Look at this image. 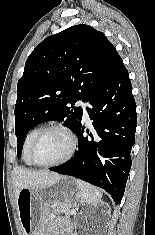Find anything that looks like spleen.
<instances>
[{"mask_svg": "<svg viewBox=\"0 0 155 235\" xmlns=\"http://www.w3.org/2000/svg\"><path fill=\"white\" fill-rule=\"evenodd\" d=\"M76 183L81 190L84 202L95 204L101 200L102 194L97 188L81 180H76Z\"/></svg>", "mask_w": 155, "mask_h": 235, "instance_id": "3e777b00", "label": "spleen"}]
</instances>
